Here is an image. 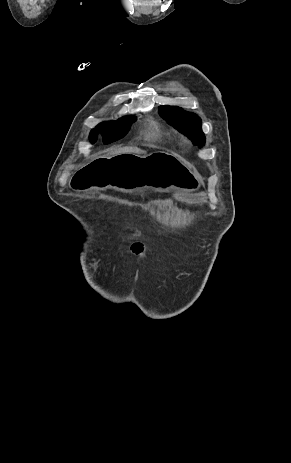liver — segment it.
Here are the masks:
<instances>
[{
	"mask_svg": "<svg viewBox=\"0 0 291 463\" xmlns=\"http://www.w3.org/2000/svg\"><path fill=\"white\" fill-rule=\"evenodd\" d=\"M130 153L142 154V153H145V151L137 147H122V148L112 151L111 153L106 155L105 158H111V157H115L121 154H130Z\"/></svg>",
	"mask_w": 291,
	"mask_h": 463,
	"instance_id": "1",
	"label": "liver"
}]
</instances>
